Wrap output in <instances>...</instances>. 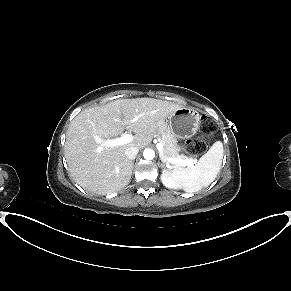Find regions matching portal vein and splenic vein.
<instances>
[{
    "instance_id": "obj_1",
    "label": "portal vein and splenic vein",
    "mask_w": 291,
    "mask_h": 291,
    "mask_svg": "<svg viewBox=\"0 0 291 291\" xmlns=\"http://www.w3.org/2000/svg\"><path fill=\"white\" fill-rule=\"evenodd\" d=\"M94 139L97 142L103 143L105 146L114 147V146H120V145L131 142L133 140V136L130 134H124L120 138H114V139H110V140H101L98 136H95ZM156 147L161 154L163 151V145L161 143H157ZM168 162L171 164H179L181 166L193 167V163L195 162V160H193V159L183 160V159H181V157H178V158H170V159H168Z\"/></svg>"
}]
</instances>
